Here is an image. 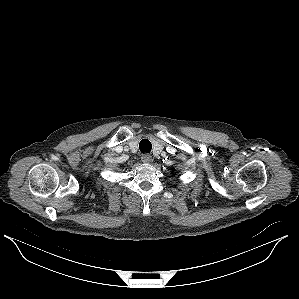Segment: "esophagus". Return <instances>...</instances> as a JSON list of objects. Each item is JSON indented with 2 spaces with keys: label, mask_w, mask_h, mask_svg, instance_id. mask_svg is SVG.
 <instances>
[{
  "label": "esophagus",
  "mask_w": 299,
  "mask_h": 299,
  "mask_svg": "<svg viewBox=\"0 0 299 299\" xmlns=\"http://www.w3.org/2000/svg\"><path fill=\"white\" fill-rule=\"evenodd\" d=\"M141 160L143 163H150L152 161V156L150 154H143L141 156Z\"/></svg>",
  "instance_id": "34e87169"
}]
</instances>
